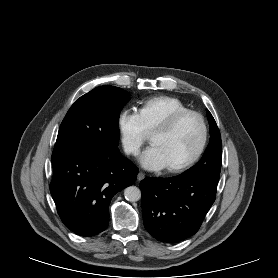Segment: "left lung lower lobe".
Masks as SVG:
<instances>
[{
  "label": "left lung lower lobe",
  "instance_id": "0a47b994",
  "mask_svg": "<svg viewBox=\"0 0 278 278\" xmlns=\"http://www.w3.org/2000/svg\"><path fill=\"white\" fill-rule=\"evenodd\" d=\"M217 185L198 177L145 178L140 182L145 229L165 243L194 235L215 201Z\"/></svg>",
  "mask_w": 278,
  "mask_h": 278
}]
</instances>
